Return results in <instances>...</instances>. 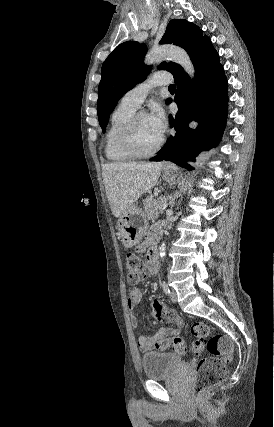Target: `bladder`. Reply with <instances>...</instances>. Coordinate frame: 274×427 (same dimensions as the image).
Masks as SVG:
<instances>
[{
  "label": "bladder",
  "mask_w": 274,
  "mask_h": 427,
  "mask_svg": "<svg viewBox=\"0 0 274 427\" xmlns=\"http://www.w3.org/2000/svg\"><path fill=\"white\" fill-rule=\"evenodd\" d=\"M179 360L172 352H147L141 356L143 372L147 379L156 380L172 375L179 367Z\"/></svg>",
  "instance_id": "1"
}]
</instances>
